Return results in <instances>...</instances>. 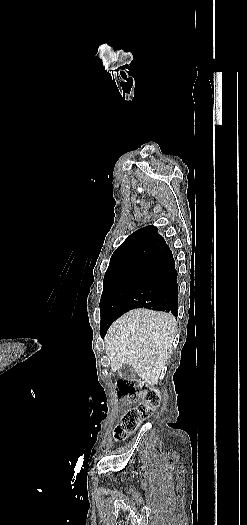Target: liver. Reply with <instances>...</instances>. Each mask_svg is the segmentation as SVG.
<instances>
[{"mask_svg":"<svg viewBox=\"0 0 247 525\" xmlns=\"http://www.w3.org/2000/svg\"><path fill=\"white\" fill-rule=\"evenodd\" d=\"M174 315L150 309L128 311L108 329L104 343L111 371L123 365L135 369L147 385H157L164 377L176 339Z\"/></svg>","mask_w":247,"mask_h":525,"instance_id":"6515ba94","label":"liver"}]
</instances>
